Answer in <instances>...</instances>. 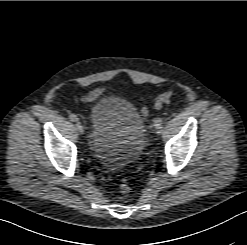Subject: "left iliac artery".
Segmentation results:
<instances>
[{
    "instance_id": "44dca946",
    "label": "left iliac artery",
    "mask_w": 247,
    "mask_h": 245,
    "mask_svg": "<svg viewBox=\"0 0 247 245\" xmlns=\"http://www.w3.org/2000/svg\"><path fill=\"white\" fill-rule=\"evenodd\" d=\"M163 122H164V120L159 118V119L155 120V125H162Z\"/></svg>"
}]
</instances>
